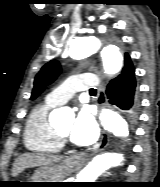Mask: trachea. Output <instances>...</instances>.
I'll return each instance as SVG.
<instances>
[{"label": "trachea", "instance_id": "trachea-1", "mask_svg": "<svg viewBox=\"0 0 160 187\" xmlns=\"http://www.w3.org/2000/svg\"><path fill=\"white\" fill-rule=\"evenodd\" d=\"M94 92H96L95 89H90V93H94Z\"/></svg>", "mask_w": 160, "mask_h": 187}]
</instances>
